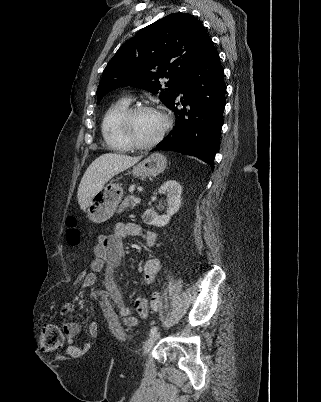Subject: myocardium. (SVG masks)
Returning a JSON list of instances; mask_svg holds the SVG:
<instances>
[{
	"instance_id": "myocardium-1",
	"label": "myocardium",
	"mask_w": 321,
	"mask_h": 402,
	"mask_svg": "<svg viewBox=\"0 0 321 402\" xmlns=\"http://www.w3.org/2000/svg\"><path fill=\"white\" fill-rule=\"evenodd\" d=\"M143 111L157 112L164 119V125L159 134L153 140L147 143L138 142L132 134V120L136 114ZM171 125H172V119L166 111L162 110L161 108L148 104H139L129 107L123 113L119 121V128L123 139L131 148L138 150H147L156 146L164 138L166 133L169 131Z\"/></svg>"
}]
</instances>
